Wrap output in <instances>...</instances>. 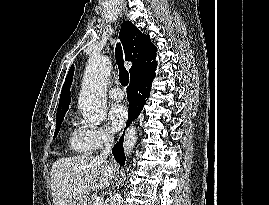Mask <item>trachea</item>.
<instances>
[{
    "label": "trachea",
    "mask_w": 269,
    "mask_h": 205,
    "mask_svg": "<svg viewBox=\"0 0 269 205\" xmlns=\"http://www.w3.org/2000/svg\"><path fill=\"white\" fill-rule=\"evenodd\" d=\"M115 57L119 68V81L122 86H127L129 83V73L124 67L123 53L120 43H117L116 45Z\"/></svg>",
    "instance_id": "trachea-1"
}]
</instances>
